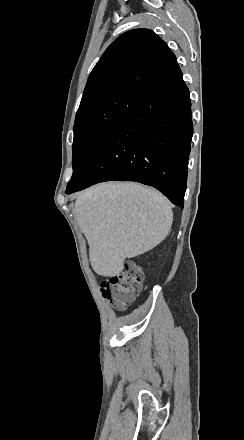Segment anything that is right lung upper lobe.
Returning <instances> with one entry per match:
<instances>
[{
  "mask_svg": "<svg viewBox=\"0 0 244 440\" xmlns=\"http://www.w3.org/2000/svg\"><path fill=\"white\" fill-rule=\"evenodd\" d=\"M180 70L167 44L149 29L120 35L92 70L80 104L119 94L142 97Z\"/></svg>",
  "mask_w": 244,
  "mask_h": 440,
  "instance_id": "1",
  "label": "right lung upper lobe"
}]
</instances>
